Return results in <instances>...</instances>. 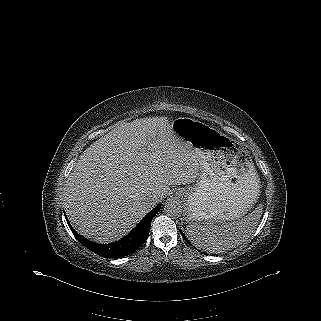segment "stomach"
<instances>
[{
	"label": "stomach",
	"instance_id": "obj_1",
	"mask_svg": "<svg viewBox=\"0 0 321 321\" xmlns=\"http://www.w3.org/2000/svg\"><path fill=\"white\" fill-rule=\"evenodd\" d=\"M174 135L199 160L196 184L176 196L187 206L188 222H228L246 214L257 202L260 181L249 154L221 131L192 118L171 122Z\"/></svg>",
	"mask_w": 321,
	"mask_h": 321
}]
</instances>
